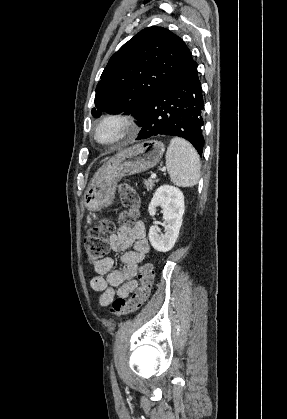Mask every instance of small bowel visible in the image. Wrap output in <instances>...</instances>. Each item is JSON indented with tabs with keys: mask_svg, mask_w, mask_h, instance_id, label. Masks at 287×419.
Returning <instances> with one entry per match:
<instances>
[{
	"mask_svg": "<svg viewBox=\"0 0 287 419\" xmlns=\"http://www.w3.org/2000/svg\"><path fill=\"white\" fill-rule=\"evenodd\" d=\"M109 243L112 251L122 253L123 268L115 269L112 257L95 264L98 275L92 279L91 285L100 293L99 302L103 306L109 305L116 296L127 298L136 290L139 264L150 249L146 226L142 221L132 226H121L110 236ZM131 246L133 249H130Z\"/></svg>",
	"mask_w": 287,
	"mask_h": 419,
	"instance_id": "c3829d8e",
	"label": "small bowel"
}]
</instances>
